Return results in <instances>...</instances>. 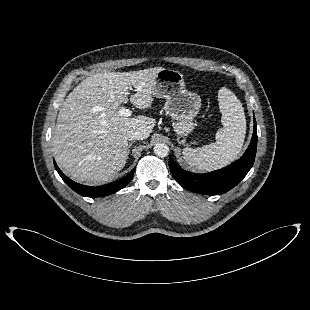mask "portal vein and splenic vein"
I'll list each match as a JSON object with an SVG mask.
<instances>
[{"mask_svg": "<svg viewBox=\"0 0 310 310\" xmlns=\"http://www.w3.org/2000/svg\"><path fill=\"white\" fill-rule=\"evenodd\" d=\"M118 114L119 116H126V117H129L132 115V111L129 110V109H126V108H121L119 111H118Z\"/></svg>", "mask_w": 310, "mask_h": 310, "instance_id": "portal-vein-and-splenic-vein-1", "label": "portal vein and splenic vein"}]
</instances>
